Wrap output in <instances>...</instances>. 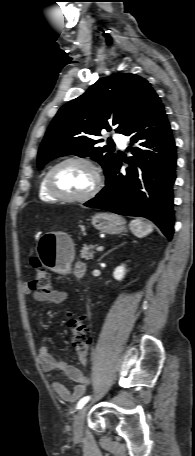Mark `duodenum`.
<instances>
[{
    "instance_id": "1",
    "label": "duodenum",
    "mask_w": 195,
    "mask_h": 456,
    "mask_svg": "<svg viewBox=\"0 0 195 456\" xmlns=\"http://www.w3.org/2000/svg\"><path fill=\"white\" fill-rule=\"evenodd\" d=\"M84 271V266L80 269V273H82Z\"/></svg>"
}]
</instances>
